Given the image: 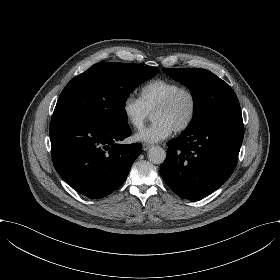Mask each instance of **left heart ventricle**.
<instances>
[{
  "label": "left heart ventricle",
  "mask_w": 280,
  "mask_h": 280,
  "mask_svg": "<svg viewBox=\"0 0 280 280\" xmlns=\"http://www.w3.org/2000/svg\"><path fill=\"white\" fill-rule=\"evenodd\" d=\"M191 111L192 98L188 93H183L170 108L154 112L152 118L154 121L163 119L176 128L188 119Z\"/></svg>",
  "instance_id": "left-heart-ventricle-1"
}]
</instances>
